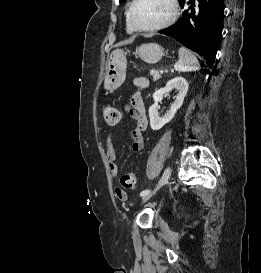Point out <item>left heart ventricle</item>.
Instances as JSON below:
<instances>
[{
  "instance_id": "obj_1",
  "label": "left heart ventricle",
  "mask_w": 261,
  "mask_h": 273,
  "mask_svg": "<svg viewBox=\"0 0 261 273\" xmlns=\"http://www.w3.org/2000/svg\"><path fill=\"white\" fill-rule=\"evenodd\" d=\"M170 12L168 0H138L132 12V19L139 27H151L164 22Z\"/></svg>"
}]
</instances>
